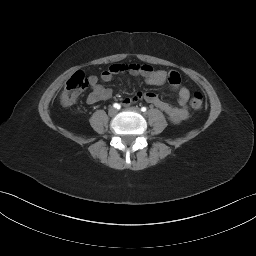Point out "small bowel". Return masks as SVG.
<instances>
[{
    "label": "small bowel",
    "mask_w": 256,
    "mask_h": 256,
    "mask_svg": "<svg viewBox=\"0 0 256 256\" xmlns=\"http://www.w3.org/2000/svg\"><path fill=\"white\" fill-rule=\"evenodd\" d=\"M127 72L131 75L141 76L144 78L146 84L151 86H160L168 83L173 91L178 93L177 103L174 106L159 98L153 92H138L130 97H124L122 104L129 107L138 101H145L163 111L168 118L177 123L181 122L188 116L187 102L190 96L189 89L181 85L180 76L176 71L166 72L164 70H156L148 64L129 63V64H114L108 69L104 70L100 79L103 82H110L115 75ZM89 85L92 91L87 95L86 102L90 105L102 100L112 98L113 91L111 88L104 87L99 84L98 77L95 75L89 76Z\"/></svg>",
    "instance_id": "small-bowel-1"
}]
</instances>
